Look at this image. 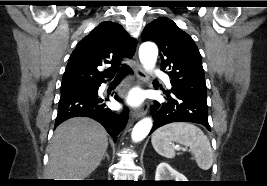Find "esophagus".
<instances>
[{
  "instance_id": "1",
  "label": "esophagus",
  "mask_w": 267,
  "mask_h": 186,
  "mask_svg": "<svg viewBox=\"0 0 267 186\" xmlns=\"http://www.w3.org/2000/svg\"><path fill=\"white\" fill-rule=\"evenodd\" d=\"M134 72L139 84L145 83L148 80L147 74L145 73L143 67L138 62L135 66ZM148 109H149V104L145 103L140 108L135 109L131 113V116L133 118H141L147 114Z\"/></svg>"
}]
</instances>
